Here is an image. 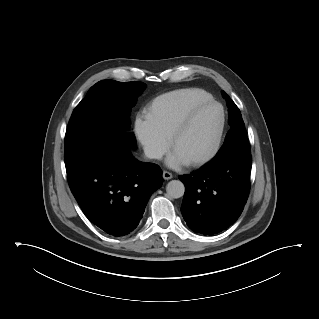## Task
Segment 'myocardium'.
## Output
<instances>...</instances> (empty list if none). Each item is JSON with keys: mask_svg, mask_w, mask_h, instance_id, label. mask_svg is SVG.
<instances>
[{"mask_svg": "<svg viewBox=\"0 0 319 319\" xmlns=\"http://www.w3.org/2000/svg\"><path fill=\"white\" fill-rule=\"evenodd\" d=\"M209 105L218 106L220 109V114H221L220 127H219L218 135L216 138L215 146L212 149V151L206 156L187 162L188 166L197 167V166L207 164L219 154L222 147L225 128H226V110L224 106L219 101L215 100L214 98H211L209 100H206L194 105L193 107L189 109L184 119L177 125V127L173 130V132L171 133L169 137L170 148L173 150L175 142L178 140L180 136H182L189 129V127L191 126V124L193 123L195 119L196 114L201 109Z\"/></svg>", "mask_w": 319, "mask_h": 319, "instance_id": "f54148a6", "label": "myocardium"}]
</instances>
